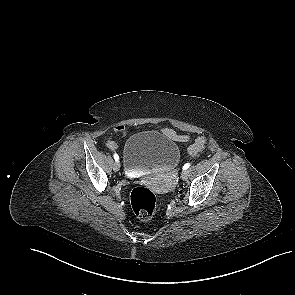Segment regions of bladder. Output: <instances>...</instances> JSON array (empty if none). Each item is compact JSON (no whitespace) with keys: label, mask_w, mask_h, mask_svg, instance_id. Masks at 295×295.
Returning <instances> with one entry per match:
<instances>
[{"label":"bladder","mask_w":295,"mask_h":295,"mask_svg":"<svg viewBox=\"0 0 295 295\" xmlns=\"http://www.w3.org/2000/svg\"><path fill=\"white\" fill-rule=\"evenodd\" d=\"M122 161L125 173H140L174 169L180 161L177 144L157 131H144L131 136L123 147Z\"/></svg>","instance_id":"1"}]
</instances>
